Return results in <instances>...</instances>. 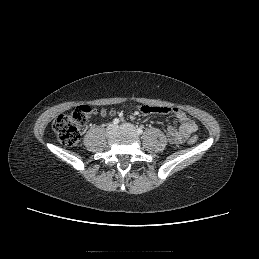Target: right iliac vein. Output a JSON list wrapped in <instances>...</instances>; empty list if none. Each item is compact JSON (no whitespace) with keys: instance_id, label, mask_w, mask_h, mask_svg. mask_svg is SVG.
Returning <instances> with one entry per match:
<instances>
[{"instance_id":"right-iliac-vein-1","label":"right iliac vein","mask_w":259,"mask_h":259,"mask_svg":"<svg viewBox=\"0 0 259 259\" xmlns=\"http://www.w3.org/2000/svg\"><path fill=\"white\" fill-rule=\"evenodd\" d=\"M116 131H117V126L115 124H110L106 129V132L108 135H113Z\"/></svg>"}]
</instances>
